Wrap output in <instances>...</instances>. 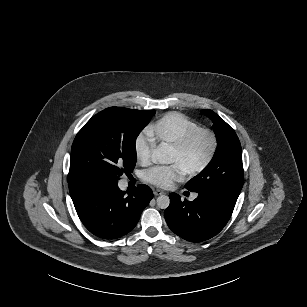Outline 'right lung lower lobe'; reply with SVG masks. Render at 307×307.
Listing matches in <instances>:
<instances>
[{
    "label": "right lung lower lobe",
    "instance_id": "obj_1",
    "mask_svg": "<svg viewBox=\"0 0 307 307\" xmlns=\"http://www.w3.org/2000/svg\"><path fill=\"white\" fill-rule=\"evenodd\" d=\"M117 183L97 180L69 186L80 220L92 234L103 239L119 238L130 232L153 198L147 185L124 192Z\"/></svg>",
    "mask_w": 307,
    "mask_h": 307
}]
</instances>
